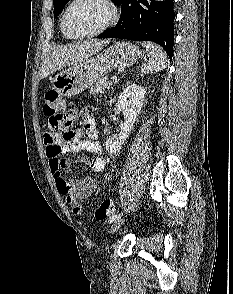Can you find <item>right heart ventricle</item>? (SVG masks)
I'll list each match as a JSON object with an SVG mask.
<instances>
[{"label": "right heart ventricle", "instance_id": "1", "mask_svg": "<svg viewBox=\"0 0 233 294\" xmlns=\"http://www.w3.org/2000/svg\"><path fill=\"white\" fill-rule=\"evenodd\" d=\"M61 32H62V35H63L65 38H69V37L64 33V31L62 30V27H61Z\"/></svg>", "mask_w": 233, "mask_h": 294}]
</instances>
